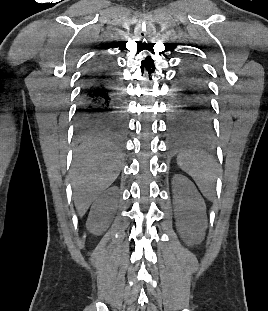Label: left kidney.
Returning <instances> with one entry per match:
<instances>
[{
	"label": "left kidney",
	"mask_w": 268,
	"mask_h": 311,
	"mask_svg": "<svg viewBox=\"0 0 268 311\" xmlns=\"http://www.w3.org/2000/svg\"><path fill=\"white\" fill-rule=\"evenodd\" d=\"M172 184L178 233L188 245L198 244L204 239L206 230L204 201L193 183L183 175H175Z\"/></svg>",
	"instance_id": "1"
}]
</instances>
